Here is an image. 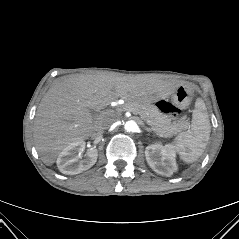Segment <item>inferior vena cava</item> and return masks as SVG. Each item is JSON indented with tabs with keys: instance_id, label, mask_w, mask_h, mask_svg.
<instances>
[{
	"instance_id": "obj_1",
	"label": "inferior vena cava",
	"mask_w": 239,
	"mask_h": 239,
	"mask_svg": "<svg viewBox=\"0 0 239 239\" xmlns=\"http://www.w3.org/2000/svg\"><path fill=\"white\" fill-rule=\"evenodd\" d=\"M112 124L110 119H106L98 128H97V135L101 136L106 129Z\"/></svg>"
}]
</instances>
